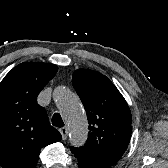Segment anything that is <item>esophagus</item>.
Masks as SVG:
<instances>
[{"label":"esophagus","instance_id":"esophagus-1","mask_svg":"<svg viewBox=\"0 0 168 168\" xmlns=\"http://www.w3.org/2000/svg\"><path fill=\"white\" fill-rule=\"evenodd\" d=\"M61 135H62V138L65 140L68 136V128L67 127H62L59 129Z\"/></svg>","mask_w":168,"mask_h":168}]
</instances>
